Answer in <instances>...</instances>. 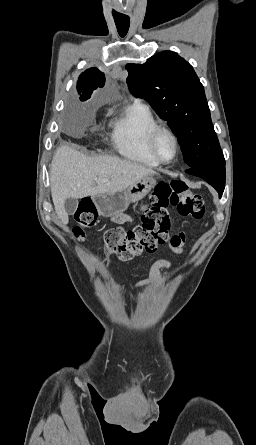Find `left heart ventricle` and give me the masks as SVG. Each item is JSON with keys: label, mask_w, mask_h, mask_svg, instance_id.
<instances>
[{"label": "left heart ventricle", "mask_w": 256, "mask_h": 445, "mask_svg": "<svg viewBox=\"0 0 256 445\" xmlns=\"http://www.w3.org/2000/svg\"><path fill=\"white\" fill-rule=\"evenodd\" d=\"M157 148L164 160H171L175 153V145L172 138L167 134H162L158 139Z\"/></svg>", "instance_id": "obj_1"}]
</instances>
